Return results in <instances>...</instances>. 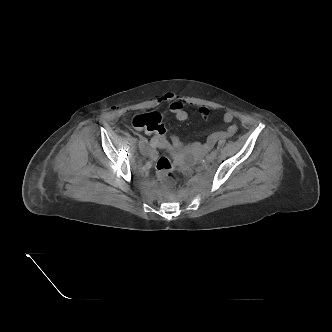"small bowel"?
I'll use <instances>...</instances> for the list:
<instances>
[{"mask_svg":"<svg viewBox=\"0 0 332 332\" xmlns=\"http://www.w3.org/2000/svg\"><path fill=\"white\" fill-rule=\"evenodd\" d=\"M162 100L169 103V109L178 121H185L188 118V112L185 110L184 101L176 94L166 93ZM199 114L203 119H207L209 116V109L201 107L199 109ZM233 119L234 114L230 111H226L223 114V121L230 125L225 130L211 133L207 136L204 143L195 142L189 147L197 153H202L211 149L219 139H225L233 136L238 130V127L235 124H231ZM171 140L175 146H183V143L178 136L172 135ZM158 148H160V146L158 145L156 138L153 137L150 141V146L145 149L144 153L151 158H155L157 156Z\"/></svg>","mask_w":332,"mask_h":332,"instance_id":"obj_1","label":"small bowel"}]
</instances>
